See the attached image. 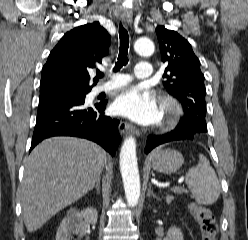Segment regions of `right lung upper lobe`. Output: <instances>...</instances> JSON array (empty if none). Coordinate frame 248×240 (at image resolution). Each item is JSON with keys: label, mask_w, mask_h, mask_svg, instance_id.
Wrapping results in <instances>:
<instances>
[{"label": "right lung upper lobe", "mask_w": 248, "mask_h": 240, "mask_svg": "<svg viewBox=\"0 0 248 240\" xmlns=\"http://www.w3.org/2000/svg\"><path fill=\"white\" fill-rule=\"evenodd\" d=\"M111 36L99 22L67 32L42 69L39 101L88 93L91 69L106 56ZM96 82V79H94Z\"/></svg>", "instance_id": "1"}]
</instances>
